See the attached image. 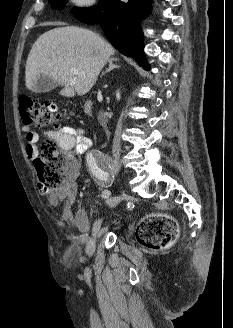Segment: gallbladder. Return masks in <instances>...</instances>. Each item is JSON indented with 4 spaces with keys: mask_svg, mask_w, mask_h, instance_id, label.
I'll list each match as a JSON object with an SVG mask.
<instances>
[{
    "mask_svg": "<svg viewBox=\"0 0 233 328\" xmlns=\"http://www.w3.org/2000/svg\"><path fill=\"white\" fill-rule=\"evenodd\" d=\"M57 85V82H55L52 78L44 74H40L36 78L35 85L32 91L35 93L49 92L55 89Z\"/></svg>",
    "mask_w": 233,
    "mask_h": 328,
    "instance_id": "1",
    "label": "gallbladder"
}]
</instances>
